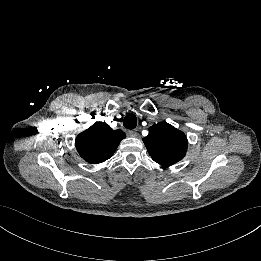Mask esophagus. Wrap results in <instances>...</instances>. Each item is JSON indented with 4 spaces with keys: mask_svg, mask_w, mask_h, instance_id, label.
<instances>
[{
    "mask_svg": "<svg viewBox=\"0 0 261 261\" xmlns=\"http://www.w3.org/2000/svg\"><path fill=\"white\" fill-rule=\"evenodd\" d=\"M128 135L131 136V137H137L138 135V132L137 130H128Z\"/></svg>",
    "mask_w": 261,
    "mask_h": 261,
    "instance_id": "esophagus-1",
    "label": "esophagus"
}]
</instances>
